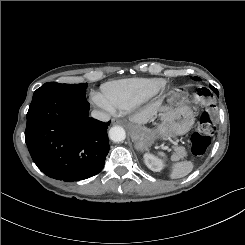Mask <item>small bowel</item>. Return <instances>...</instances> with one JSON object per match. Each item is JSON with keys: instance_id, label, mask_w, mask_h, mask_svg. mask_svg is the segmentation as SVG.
Returning a JSON list of instances; mask_svg holds the SVG:
<instances>
[{"instance_id": "obj_1", "label": "small bowel", "mask_w": 245, "mask_h": 245, "mask_svg": "<svg viewBox=\"0 0 245 245\" xmlns=\"http://www.w3.org/2000/svg\"><path fill=\"white\" fill-rule=\"evenodd\" d=\"M188 100L191 105L203 104L205 109L211 110L216 107L218 97L211 89L194 86L189 91Z\"/></svg>"}]
</instances>
